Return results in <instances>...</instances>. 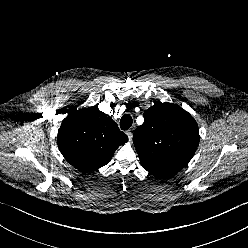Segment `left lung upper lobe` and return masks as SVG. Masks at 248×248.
I'll list each match as a JSON object with an SVG mask.
<instances>
[{
	"instance_id": "left-lung-upper-lobe-1",
	"label": "left lung upper lobe",
	"mask_w": 248,
	"mask_h": 248,
	"mask_svg": "<svg viewBox=\"0 0 248 248\" xmlns=\"http://www.w3.org/2000/svg\"><path fill=\"white\" fill-rule=\"evenodd\" d=\"M141 165L158 177L184 168L199 144L194 118L176 104L157 102L144 112L133 135Z\"/></svg>"
}]
</instances>
